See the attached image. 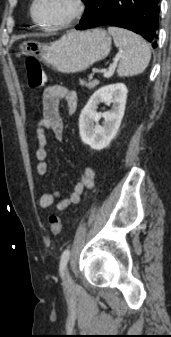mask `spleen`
<instances>
[{
  "mask_svg": "<svg viewBox=\"0 0 171 337\" xmlns=\"http://www.w3.org/2000/svg\"><path fill=\"white\" fill-rule=\"evenodd\" d=\"M108 32L113 36L115 46L121 50L118 76L128 77L144 72L151 59V51L146 41L119 27H108Z\"/></svg>",
  "mask_w": 171,
  "mask_h": 337,
  "instance_id": "1",
  "label": "spleen"
}]
</instances>
